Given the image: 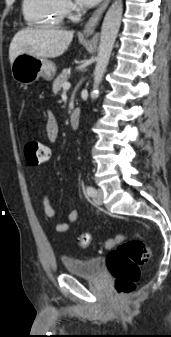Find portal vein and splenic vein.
<instances>
[{
  "label": "portal vein and splenic vein",
  "instance_id": "18ae733b",
  "mask_svg": "<svg viewBox=\"0 0 171 337\" xmlns=\"http://www.w3.org/2000/svg\"><path fill=\"white\" fill-rule=\"evenodd\" d=\"M70 87H71V84H70L69 82H65V83L63 84V90H64V91L69 90Z\"/></svg>",
  "mask_w": 171,
  "mask_h": 337
}]
</instances>
